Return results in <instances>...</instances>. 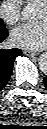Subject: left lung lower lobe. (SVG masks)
<instances>
[{
    "instance_id": "left-lung-lower-lobe-1",
    "label": "left lung lower lobe",
    "mask_w": 47,
    "mask_h": 129,
    "mask_svg": "<svg viewBox=\"0 0 47 129\" xmlns=\"http://www.w3.org/2000/svg\"><path fill=\"white\" fill-rule=\"evenodd\" d=\"M44 84H45V87L47 88V77L44 78Z\"/></svg>"
}]
</instances>
